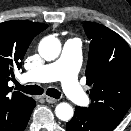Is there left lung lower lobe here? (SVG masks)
<instances>
[{
    "instance_id": "obj_1",
    "label": "left lung lower lobe",
    "mask_w": 131,
    "mask_h": 131,
    "mask_svg": "<svg viewBox=\"0 0 131 131\" xmlns=\"http://www.w3.org/2000/svg\"><path fill=\"white\" fill-rule=\"evenodd\" d=\"M67 131H111L83 107H76L73 118L66 124Z\"/></svg>"
}]
</instances>
